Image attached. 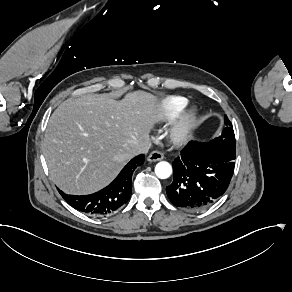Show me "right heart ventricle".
Listing matches in <instances>:
<instances>
[{"mask_svg":"<svg viewBox=\"0 0 292 292\" xmlns=\"http://www.w3.org/2000/svg\"><path fill=\"white\" fill-rule=\"evenodd\" d=\"M188 103L183 96L171 95L162 100V114L164 119L171 118L180 112Z\"/></svg>","mask_w":292,"mask_h":292,"instance_id":"right-heart-ventricle-1","label":"right heart ventricle"}]
</instances>
